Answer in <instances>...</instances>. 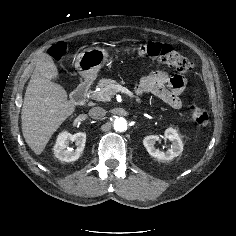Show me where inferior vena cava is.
<instances>
[{
    "instance_id": "602c4592",
    "label": "inferior vena cava",
    "mask_w": 236,
    "mask_h": 236,
    "mask_svg": "<svg viewBox=\"0 0 236 236\" xmlns=\"http://www.w3.org/2000/svg\"><path fill=\"white\" fill-rule=\"evenodd\" d=\"M106 115V110L101 107H93L89 110V116L93 119H101Z\"/></svg>"
}]
</instances>
